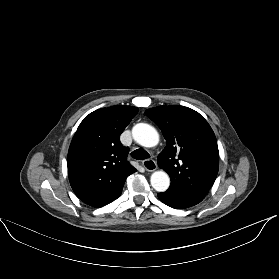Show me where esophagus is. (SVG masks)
Here are the masks:
<instances>
[{
	"instance_id": "obj_1",
	"label": "esophagus",
	"mask_w": 279,
	"mask_h": 279,
	"mask_svg": "<svg viewBox=\"0 0 279 279\" xmlns=\"http://www.w3.org/2000/svg\"><path fill=\"white\" fill-rule=\"evenodd\" d=\"M143 167L145 168V170L147 171H155L157 169V164L154 160L152 159H145L142 162Z\"/></svg>"
}]
</instances>
